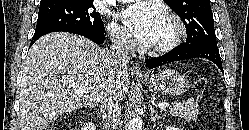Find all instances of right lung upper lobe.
Masks as SVG:
<instances>
[{
	"label": "right lung upper lobe",
	"instance_id": "1",
	"mask_svg": "<svg viewBox=\"0 0 249 130\" xmlns=\"http://www.w3.org/2000/svg\"><path fill=\"white\" fill-rule=\"evenodd\" d=\"M65 0H41L40 6H49L64 2Z\"/></svg>",
	"mask_w": 249,
	"mask_h": 130
}]
</instances>
